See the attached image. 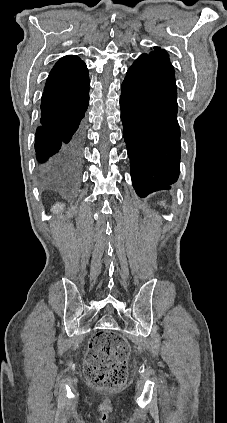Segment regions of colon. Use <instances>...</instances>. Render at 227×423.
<instances>
[{
  "label": "colon",
  "mask_w": 227,
  "mask_h": 423,
  "mask_svg": "<svg viewBox=\"0 0 227 423\" xmlns=\"http://www.w3.org/2000/svg\"><path fill=\"white\" fill-rule=\"evenodd\" d=\"M128 342L119 334L102 330L94 334L86 355L88 383L100 390L122 386L127 378Z\"/></svg>",
  "instance_id": "colon-1"
}]
</instances>
